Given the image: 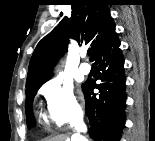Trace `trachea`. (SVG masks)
Segmentation results:
<instances>
[{
    "instance_id": "1",
    "label": "trachea",
    "mask_w": 155,
    "mask_h": 141,
    "mask_svg": "<svg viewBox=\"0 0 155 141\" xmlns=\"http://www.w3.org/2000/svg\"><path fill=\"white\" fill-rule=\"evenodd\" d=\"M87 54L90 56L92 54V50H88Z\"/></svg>"
}]
</instances>
